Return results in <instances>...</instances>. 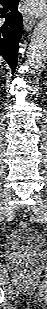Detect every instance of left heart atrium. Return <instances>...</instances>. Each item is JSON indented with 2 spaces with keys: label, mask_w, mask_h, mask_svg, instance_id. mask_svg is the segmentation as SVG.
<instances>
[{
  "label": "left heart atrium",
  "mask_w": 47,
  "mask_h": 309,
  "mask_svg": "<svg viewBox=\"0 0 47 309\" xmlns=\"http://www.w3.org/2000/svg\"><path fill=\"white\" fill-rule=\"evenodd\" d=\"M25 10L32 14H38L42 10V0H27Z\"/></svg>",
  "instance_id": "obj_1"
}]
</instances>
